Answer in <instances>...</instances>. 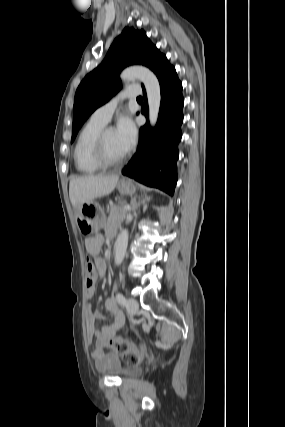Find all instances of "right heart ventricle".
Instances as JSON below:
<instances>
[{
	"label": "right heart ventricle",
	"instance_id": "right-heart-ventricle-1",
	"mask_svg": "<svg viewBox=\"0 0 285 427\" xmlns=\"http://www.w3.org/2000/svg\"><path fill=\"white\" fill-rule=\"evenodd\" d=\"M104 126V123L91 117L79 132L73 149V159L76 169L82 174L92 175L101 170L93 159L92 148Z\"/></svg>",
	"mask_w": 285,
	"mask_h": 427
}]
</instances>
